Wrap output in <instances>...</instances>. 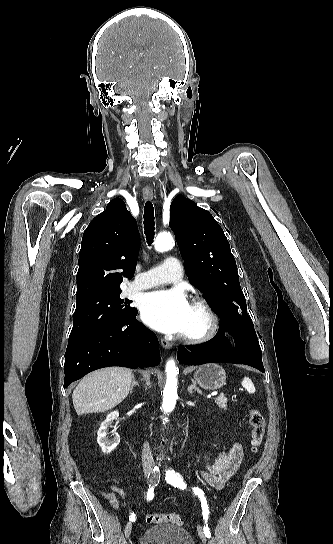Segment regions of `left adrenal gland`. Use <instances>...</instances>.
Instances as JSON below:
<instances>
[{
    "label": "left adrenal gland",
    "instance_id": "obj_1",
    "mask_svg": "<svg viewBox=\"0 0 333 544\" xmlns=\"http://www.w3.org/2000/svg\"><path fill=\"white\" fill-rule=\"evenodd\" d=\"M191 381H192V384L188 387V392L192 393L194 390V391H197L199 394H202V391L196 386V381L193 379Z\"/></svg>",
    "mask_w": 333,
    "mask_h": 544
}]
</instances>
